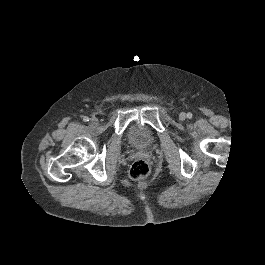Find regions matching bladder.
<instances>
[{"mask_svg":"<svg viewBox=\"0 0 265 265\" xmlns=\"http://www.w3.org/2000/svg\"><path fill=\"white\" fill-rule=\"evenodd\" d=\"M142 125H133L134 132L131 134L130 143L134 147H149L153 143L152 136L148 133L147 129L141 130Z\"/></svg>","mask_w":265,"mask_h":265,"instance_id":"31cf9c89","label":"bladder"}]
</instances>
